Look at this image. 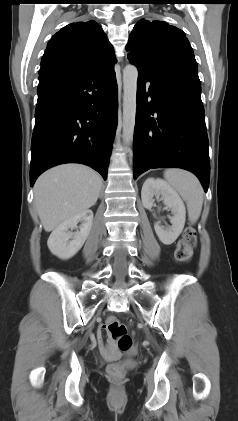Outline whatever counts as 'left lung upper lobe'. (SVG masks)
<instances>
[{
    "label": "left lung upper lobe",
    "instance_id": "1",
    "mask_svg": "<svg viewBox=\"0 0 238 421\" xmlns=\"http://www.w3.org/2000/svg\"><path fill=\"white\" fill-rule=\"evenodd\" d=\"M128 59L138 71L155 77L184 71L197 72L192 47L184 32L160 21L141 19L126 46Z\"/></svg>",
    "mask_w": 238,
    "mask_h": 421
}]
</instances>
